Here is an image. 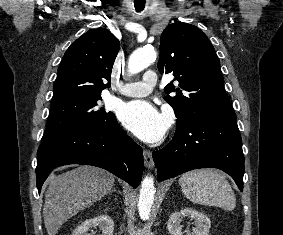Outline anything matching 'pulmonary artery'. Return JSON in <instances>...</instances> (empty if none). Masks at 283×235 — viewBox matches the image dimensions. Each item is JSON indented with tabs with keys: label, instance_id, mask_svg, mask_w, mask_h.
I'll return each mask as SVG.
<instances>
[{
	"label": "pulmonary artery",
	"instance_id": "1",
	"mask_svg": "<svg viewBox=\"0 0 283 235\" xmlns=\"http://www.w3.org/2000/svg\"><path fill=\"white\" fill-rule=\"evenodd\" d=\"M157 82V75L154 71H147L141 81L128 83L122 86L119 93L128 97H143L150 94Z\"/></svg>",
	"mask_w": 283,
	"mask_h": 235
}]
</instances>
